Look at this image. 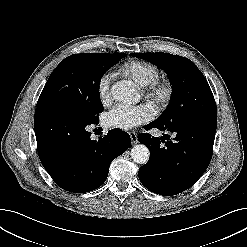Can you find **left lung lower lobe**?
Returning <instances> with one entry per match:
<instances>
[{"label":"left lung lower lobe","mask_w":247,"mask_h":247,"mask_svg":"<svg viewBox=\"0 0 247 247\" xmlns=\"http://www.w3.org/2000/svg\"><path fill=\"white\" fill-rule=\"evenodd\" d=\"M217 123L195 121L164 126L155 121L147 128L174 133L173 141L164 134L152 137L140 134L139 142L145 144L151 153L149 161L139 168L141 183L150 191L163 195L179 194L201 177L212 158ZM168 136V138H165Z\"/></svg>","instance_id":"1"}]
</instances>
